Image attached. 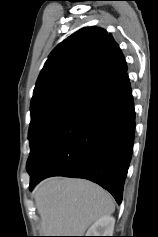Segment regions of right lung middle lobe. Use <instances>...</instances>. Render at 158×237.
<instances>
[{
  "mask_svg": "<svg viewBox=\"0 0 158 237\" xmlns=\"http://www.w3.org/2000/svg\"><path fill=\"white\" fill-rule=\"evenodd\" d=\"M82 103L83 101L73 97L60 96L43 100L31 106L30 155L27 167L44 138Z\"/></svg>",
  "mask_w": 158,
  "mask_h": 237,
  "instance_id": "1",
  "label": "right lung middle lobe"
}]
</instances>
